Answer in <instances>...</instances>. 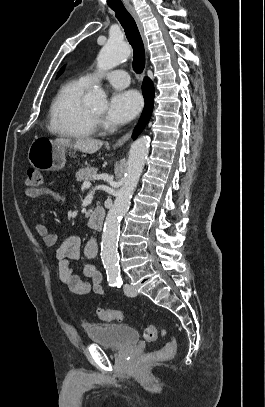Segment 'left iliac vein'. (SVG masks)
<instances>
[{
  "instance_id": "1",
  "label": "left iliac vein",
  "mask_w": 265,
  "mask_h": 407,
  "mask_svg": "<svg viewBox=\"0 0 265 407\" xmlns=\"http://www.w3.org/2000/svg\"><path fill=\"white\" fill-rule=\"evenodd\" d=\"M124 292H125V294H126L127 296H129V297H134V296H136L135 290H134L133 287H132L131 285H129V284H125V285H124Z\"/></svg>"
}]
</instances>
